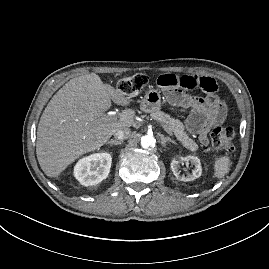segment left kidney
<instances>
[{"label": "left kidney", "mask_w": 269, "mask_h": 269, "mask_svg": "<svg viewBox=\"0 0 269 269\" xmlns=\"http://www.w3.org/2000/svg\"><path fill=\"white\" fill-rule=\"evenodd\" d=\"M183 162L189 164V162L194 166V169L192 170L191 174H188L187 176L185 175H180V164ZM171 169L175 177L180 180V181H193L201 176L202 173V168H201V163L200 159L196 156L189 155L187 157H179V158H174L171 162Z\"/></svg>", "instance_id": "5707ae66"}]
</instances>
